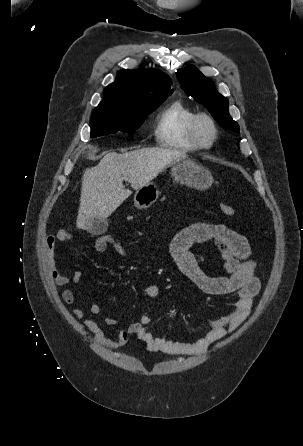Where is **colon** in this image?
I'll return each instance as SVG.
<instances>
[{
	"label": "colon",
	"instance_id": "1",
	"mask_svg": "<svg viewBox=\"0 0 303 446\" xmlns=\"http://www.w3.org/2000/svg\"><path fill=\"white\" fill-rule=\"evenodd\" d=\"M220 210L222 211L223 214L227 215V216H235L236 214V210L233 206L226 204V203H221L220 204ZM112 239V237L105 235V240L108 241Z\"/></svg>",
	"mask_w": 303,
	"mask_h": 446
}]
</instances>
